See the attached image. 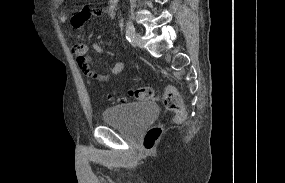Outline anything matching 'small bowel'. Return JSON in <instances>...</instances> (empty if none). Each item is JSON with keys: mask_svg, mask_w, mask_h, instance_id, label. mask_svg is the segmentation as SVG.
Returning a JSON list of instances; mask_svg holds the SVG:
<instances>
[{"mask_svg": "<svg viewBox=\"0 0 285 183\" xmlns=\"http://www.w3.org/2000/svg\"><path fill=\"white\" fill-rule=\"evenodd\" d=\"M119 0H109L108 6L104 9L95 10L92 13L84 10L76 15H74L71 19V23L75 28H80L86 23L92 16L99 15L103 12L107 13L109 16L113 17L115 15L116 7ZM59 4H62L64 0H57ZM59 20L62 23H65L68 21V14L67 13H61L59 15ZM93 49L97 53H102L103 48L99 43L93 44ZM73 53L79 63L80 66H83L86 69V74L90 75L94 79L97 80H103L111 75L118 74L123 71L125 63L122 61H116L111 67L104 68L100 72L96 73L91 70L93 66V59L88 51V46L84 43H77L73 47ZM113 54L115 58L119 57V52L117 49L113 50Z\"/></svg>", "mask_w": 285, "mask_h": 183, "instance_id": "c3829d8e", "label": "small bowel"}]
</instances>
